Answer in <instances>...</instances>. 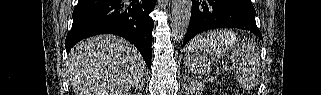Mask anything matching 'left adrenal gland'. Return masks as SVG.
Wrapping results in <instances>:
<instances>
[{"instance_id":"a2214340","label":"left adrenal gland","mask_w":321,"mask_h":95,"mask_svg":"<svg viewBox=\"0 0 321 95\" xmlns=\"http://www.w3.org/2000/svg\"><path fill=\"white\" fill-rule=\"evenodd\" d=\"M184 81H185L184 87L187 89L188 85L186 83V77H184Z\"/></svg>"}]
</instances>
